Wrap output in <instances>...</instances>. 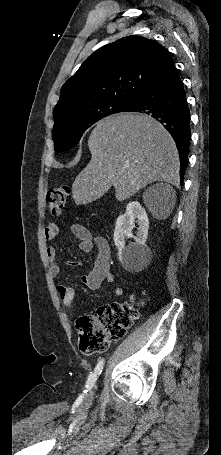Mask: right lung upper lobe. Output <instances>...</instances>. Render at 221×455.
Returning a JSON list of instances; mask_svg holds the SVG:
<instances>
[{
  "label": "right lung upper lobe",
  "instance_id": "obj_1",
  "mask_svg": "<svg viewBox=\"0 0 221 455\" xmlns=\"http://www.w3.org/2000/svg\"><path fill=\"white\" fill-rule=\"evenodd\" d=\"M168 57L164 47L140 36L100 48L62 86L54 120L103 101L133 102Z\"/></svg>",
  "mask_w": 221,
  "mask_h": 455
}]
</instances>
